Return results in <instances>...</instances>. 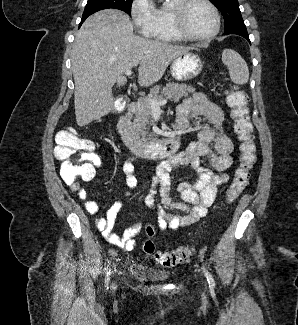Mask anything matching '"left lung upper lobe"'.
Listing matches in <instances>:
<instances>
[{"instance_id":"1","label":"left lung upper lobe","mask_w":298,"mask_h":325,"mask_svg":"<svg viewBox=\"0 0 298 325\" xmlns=\"http://www.w3.org/2000/svg\"><path fill=\"white\" fill-rule=\"evenodd\" d=\"M210 1H212L221 10L224 16L225 32H229L235 28L245 27L237 0H210Z\"/></svg>"}]
</instances>
